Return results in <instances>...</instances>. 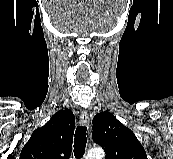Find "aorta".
<instances>
[{
    "instance_id": "obj_1",
    "label": "aorta",
    "mask_w": 173,
    "mask_h": 159,
    "mask_svg": "<svg viewBox=\"0 0 173 159\" xmlns=\"http://www.w3.org/2000/svg\"><path fill=\"white\" fill-rule=\"evenodd\" d=\"M104 151L101 148L90 149L87 153L86 159H103Z\"/></svg>"
}]
</instances>
